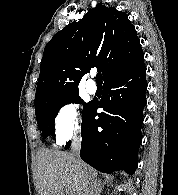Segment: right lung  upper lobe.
Wrapping results in <instances>:
<instances>
[{"instance_id": "1", "label": "right lung upper lobe", "mask_w": 178, "mask_h": 195, "mask_svg": "<svg viewBox=\"0 0 178 195\" xmlns=\"http://www.w3.org/2000/svg\"><path fill=\"white\" fill-rule=\"evenodd\" d=\"M143 57L127 14L98 3L80 21L57 32L45 46L35 108L78 93L80 79L92 67H97L106 80L133 69Z\"/></svg>"}]
</instances>
